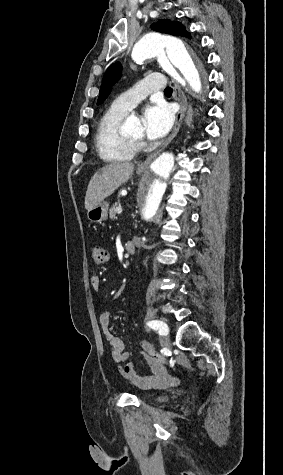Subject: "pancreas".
I'll use <instances>...</instances> for the list:
<instances>
[{
    "mask_svg": "<svg viewBox=\"0 0 283 475\" xmlns=\"http://www.w3.org/2000/svg\"><path fill=\"white\" fill-rule=\"evenodd\" d=\"M121 204H119V202H115L114 206H112V208H110V212H109V218H111V220H114L116 214H117V208H120Z\"/></svg>",
    "mask_w": 283,
    "mask_h": 475,
    "instance_id": "1",
    "label": "pancreas"
}]
</instances>
